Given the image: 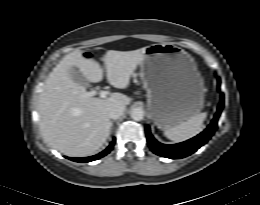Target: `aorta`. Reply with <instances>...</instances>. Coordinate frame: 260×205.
I'll list each match as a JSON object with an SVG mask.
<instances>
[{
  "label": "aorta",
  "mask_w": 260,
  "mask_h": 205,
  "mask_svg": "<svg viewBox=\"0 0 260 205\" xmlns=\"http://www.w3.org/2000/svg\"><path fill=\"white\" fill-rule=\"evenodd\" d=\"M130 116L135 121H141L144 117V111L142 108H134L131 110Z\"/></svg>",
  "instance_id": "762f6f07"
}]
</instances>
